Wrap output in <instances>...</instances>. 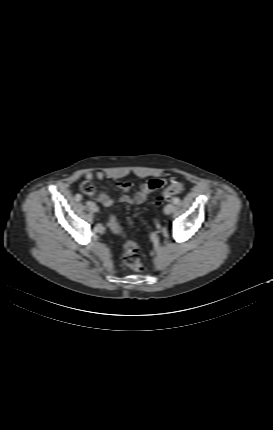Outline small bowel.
I'll list each match as a JSON object with an SVG mask.
<instances>
[{"label":"small bowel","instance_id":"1","mask_svg":"<svg viewBox=\"0 0 273 430\" xmlns=\"http://www.w3.org/2000/svg\"><path fill=\"white\" fill-rule=\"evenodd\" d=\"M85 178L87 180H92L94 178L102 180L105 178V173L102 171H97L95 173L87 172L85 174ZM165 184V179L153 178L141 184L138 191L133 196H130L128 193L132 190L133 184L130 182H120L117 184V187L125 194L119 198V202L123 204H142L152 193L160 189ZM97 200L105 207H110L114 204V199L105 192H100L97 195Z\"/></svg>","mask_w":273,"mask_h":430}]
</instances>
